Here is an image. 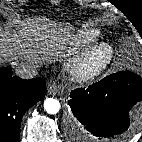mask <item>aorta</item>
<instances>
[{
    "instance_id": "762f6f07",
    "label": "aorta",
    "mask_w": 142,
    "mask_h": 142,
    "mask_svg": "<svg viewBox=\"0 0 142 142\" xmlns=\"http://www.w3.org/2000/svg\"><path fill=\"white\" fill-rule=\"evenodd\" d=\"M44 109L49 114H56L60 110V103L57 99L47 98L44 101Z\"/></svg>"
}]
</instances>
